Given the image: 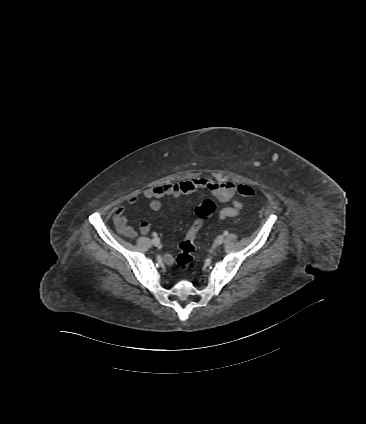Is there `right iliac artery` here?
<instances>
[{"label": "right iliac artery", "mask_w": 366, "mask_h": 424, "mask_svg": "<svg viewBox=\"0 0 366 424\" xmlns=\"http://www.w3.org/2000/svg\"><path fill=\"white\" fill-rule=\"evenodd\" d=\"M152 235H153L154 237H156V236H157V234H156V233H153Z\"/></svg>", "instance_id": "82829eb1"}]
</instances>
